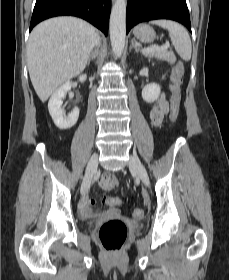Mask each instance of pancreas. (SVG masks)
<instances>
[{"label":"pancreas","mask_w":229,"mask_h":280,"mask_svg":"<svg viewBox=\"0 0 229 280\" xmlns=\"http://www.w3.org/2000/svg\"><path fill=\"white\" fill-rule=\"evenodd\" d=\"M143 55L146 57H154L158 60L167 61L169 64H174L176 62L175 54L172 51L159 50L151 53H143Z\"/></svg>","instance_id":"pancreas-1"}]
</instances>
